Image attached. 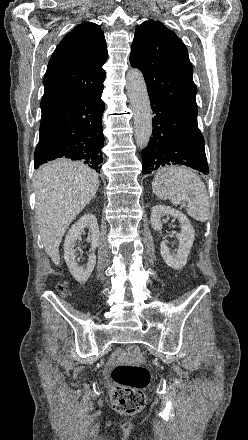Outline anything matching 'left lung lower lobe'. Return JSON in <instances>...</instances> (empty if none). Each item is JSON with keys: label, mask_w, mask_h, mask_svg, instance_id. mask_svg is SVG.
Here are the masks:
<instances>
[{"label": "left lung lower lobe", "mask_w": 248, "mask_h": 440, "mask_svg": "<svg viewBox=\"0 0 248 440\" xmlns=\"http://www.w3.org/2000/svg\"><path fill=\"white\" fill-rule=\"evenodd\" d=\"M153 118L152 138L142 151L143 174L161 166L182 164L209 173L204 138L196 122L190 121L154 96H149Z\"/></svg>", "instance_id": "0a47b994"}]
</instances>
